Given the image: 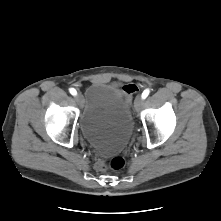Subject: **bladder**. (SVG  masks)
<instances>
[{
	"label": "bladder",
	"mask_w": 221,
	"mask_h": 221,
	"mask_svg": "<svg viewBox=\"0 0 221 221\" xmlns=\"http://www.w3.org/2000/svg\"><path fill=\"white\" fill-rule=\"evenodd\" d=\"M82 106L79 128L85 140L103 155L122 152L134 130L130 105L122 93L111 84L93 82Z\"/></svg>",
	"instance_id": "obj_1"
}]
</instances>
